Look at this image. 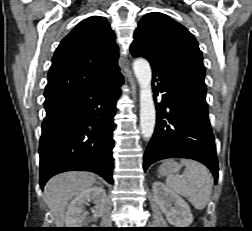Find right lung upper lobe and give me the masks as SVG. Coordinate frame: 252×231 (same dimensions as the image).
<instances>
[{
  "label": "right lung upper lobe",
  "mask_w": 252,
  "mask_h": 231,
  "mask_svg": "<svg viewBox=\"0 0 252 231\" xmlns=\"http://www.w3.org/2000/svg\"><path fill=\"white\" fill-rule=\"evenodd\" d=\"M106 18L81 21L59 44L48 73L45 104L61 103L74 93L122 76L118 46Z\"/></svg>",
  "instance_id": "1"
}]
</instances>
